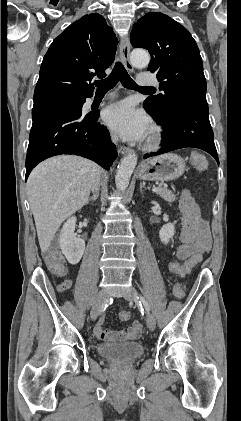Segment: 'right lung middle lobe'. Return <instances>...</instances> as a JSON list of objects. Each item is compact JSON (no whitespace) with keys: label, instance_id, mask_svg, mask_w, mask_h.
<instances>
[{"label":"right lung middle lobe","instance_id":"obj_1","mask_svg":"<svg viewBox=\"0 0 241 421\" xmlns=\"http://www.w3.org/2000/svg\"><path fill=\"white\" fill-rule=\"evenodd\" d=\"M53 103H54V101H50V102H46V103H43V104H40V105L33 106L32 113H35L36 111H38L42 108H45V107H47V106H49Z\"/></svg>","mask_w":241,"mask_h":421}]
</instances>
